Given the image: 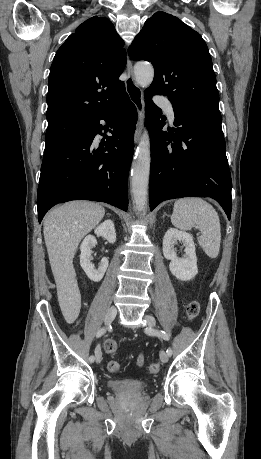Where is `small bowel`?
<instances>
[{
    "label": "small bowel",
    "instance_id": "obj_1",
    "mask_svg": "<svg viewBox=\"0 0 261 459\" xmlns=\"http://www.w3.org/2000/svg\"><path fill=\"white\" fill-rule=\"evenodd\" d=\"M142 363H143V357L140 356V357L138 358V364L141 365Z\"/></svg>",
    "mask_w": 261,
    "mask_h": 459
}]
</instances>
